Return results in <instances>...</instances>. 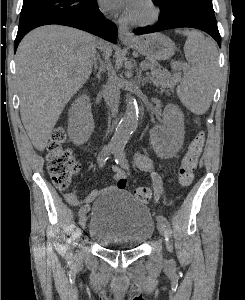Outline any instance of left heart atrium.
<instances>
[{
	"label": "left heart atrium",
	"mask_w": 245,
	"mask_h": 300,
	"mask_svg": "<svg viewBox=\"0 0 245 300\" xmlns=\"http://www.w3.org/2000/svg\"><path fill=\"white\" fill-rule=\"evenodd\" d=\"M100 2L103 7L110 10L122 11L125 17L131 18L140 0H100Z\"/></svg>",
	"instance_id": "39dd6f15"
}]
</instances>
